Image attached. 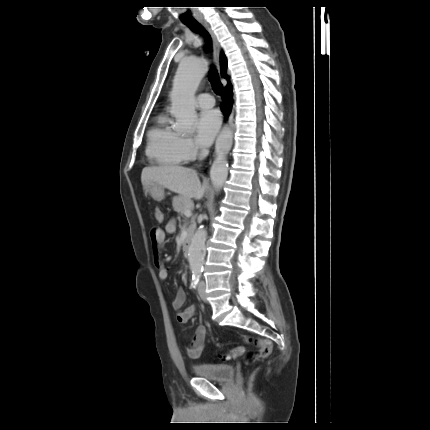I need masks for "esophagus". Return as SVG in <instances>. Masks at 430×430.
Segmentation results:
<instances>
[{"label": "esophagus", "mask_w": 430, "mask_h": 430, "mask_svg": "<svg viewBox=\"0 0 430 430\" xmlns=\"http://www.w3.org/2000/svg\"><path fill=\"white\" fill-rule=\"evenodd\" d=\"M202 24L207 29L209 34L211 35L212 44H213V56H214V60L217 64V67L219 69V55H220V51H221L219 41H218L216 35L214 34V32L212 31V29L210 28V26L206 22H204Z\"/></svg>", "instance_id": "1"}]
</instances>
